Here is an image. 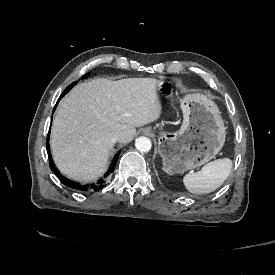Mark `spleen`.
I'll return each mask as SVG.
<instances>
[{
    "mask_svg": "<svg viewBox=\"0 0 275 275\" xmlns=\"http://www.w3.org/2000/svg\"><path fill=\"white\" fill-rule=\"evenodd\" d=\"M232 161L229 158L218 159L203 166L195 173L183 177L187 191L194 194H207L220 187L229 176Z\"/></svg>",
    "mask_w": 275,
    "mask_h": 275,
    "instance_id": "1",
    "label": "spleen"
}]
</instances>
